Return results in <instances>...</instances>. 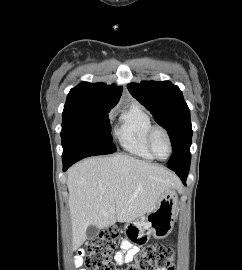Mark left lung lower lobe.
<instances>
[{
    "instance_id": "1",
    "label": "left lung lower lobe",
    "mask_w": 242,
    "mask_h": 270,
    "mask_svg": "<svg viewBox=\"0 0 242 270\" xmlns=\"http://www.w3.org/2000/svg\"><path fill=\"white\" fill-rule=\"evenodd\" d=\"M188 172L189 171H175V173L180 177L184 185H186Z\"/></svg>"
}]
</instances>
